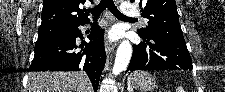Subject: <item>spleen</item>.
Masks as SVG:
<instances>
[{"label":"spleen","instance_id":"1","mask_svg":"<svg viewBox=\"0 0 225 92\" xmlns=\"http://www.w3.org/2000/svg\"><path fill=\"white\" fill-rule=\"evenodd\" d=\"M128 91L129 92L133 91L131 83H130V77L128 78ZM182 91H183V89L181 87H178L177 92H182Z\"/></svg>","mask_w":225,"mask_h":92}]
</instances>
